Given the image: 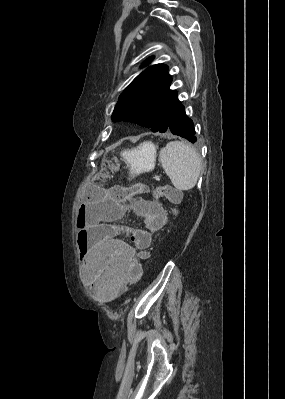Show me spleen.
Here are the masks:
<instances>
[{
	"instance_id": "3e777b00",
	"label": "spleen",
	"mask_w": 285,
	"mask_h": 399,
	"mask_svg": "<svg viewBox=\"0 0 285 399\" xmlns=\"http://www.w3.org/2000/svg\"><path fill=\"white\" fill-rule=\"evenodd\" d=\"M161 165L176 189H192L201 170V159L196 150L183 142L171 141L161 149Z\"/></svg>"
}]
</instances>
